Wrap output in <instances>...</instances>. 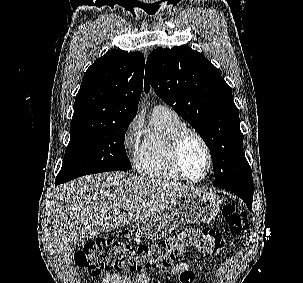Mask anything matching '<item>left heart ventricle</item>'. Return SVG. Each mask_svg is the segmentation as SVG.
<instances>
[{
	"label": "left heart ventricle",
	"mask_w": 303,
	"mask_h": 283,
	"mask_svg": "<svg viewBox=\"0 0 303 283\" xmlns=\"http://www.w3.org/2000/svg\"><path fill=\"white\" fill-rule=\"evenodd\" d=\"M182 161L187 174L198 179L207 169V156L201 143L193 136H189L183 145Z\"/></svg>",
	"instance_id": "left-heart-ventricle-1"
}]
</instances>
